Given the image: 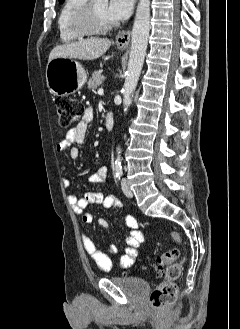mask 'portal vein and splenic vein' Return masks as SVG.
Masks as SVG:
<instances>
[{"label": "portal vein and splenic vein", "instance_id": "1", "mask_svg": "<svg viewBox=\"0 0 240 329\" xmlns=\"http://www.w3.org/2000/svg\"><path fill=\"white\" fill-rule=\"evenodd\" d=\"M98 94H103V89H99Z\"/></svg>", "mask_w": 240, "mask_h": 329}]
</instances>
